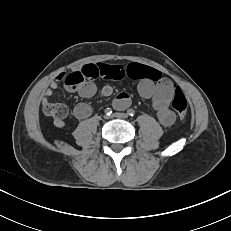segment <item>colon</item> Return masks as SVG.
Masks as SVG:
<instances>
[{
  "label": "colon",
  "mask_w": 231,
  "mask_h": 231,
  "mask_svg": "<svg viewBox=\"0 0 231 231\" xmlns=\"http://www.w3.org/2000/svg\"><path fill=\"white\" fill-rule=\"evenodd\" d=\"M147 73L150 78L155 81L161 78L160 72L155 69H147ZM83 82L84 77L79 71L70 73L64 79V85L66 89L70 91L77 90L83 84ZM172 106L180 119H184L186 117L188 102L184 93L179 87L174 88ZM42 108L45 114L52 116L59 121H62L68 115V109L62 104H55L48 101L43 102Z\"/></svg>",
  "instance_id": "1"
}]
</instances>
